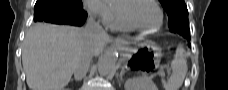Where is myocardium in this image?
Segmentation results:
<instances>
[{"label": "myocardium", "instance_id": "1", "mask_svg": "<svg viewBox=\"0 0 228 90\" xmlns=\"http://www.w3.org/2000/svg\"><path fill=\"white\" fill-rule=\"evenodd\" d=\"M141 0H124V2L119 6V17L121 19V21L123 22V24L128 27L130 30H136V31H140L143 33H155L158 32L159 30H161V28L163 27L164 24V13L162 8L160 7V5L158 4L157 1L155 0H147L150 1L158 10L159 12V16H160V21L159 24L156 28L154 29H146V28H142L140 26H137L136 24H134L127 16L126 14V10L127 8L135 2H138Z\"/></svg>", "mask_w": 228, "mask_h": 90}]
</instances>
